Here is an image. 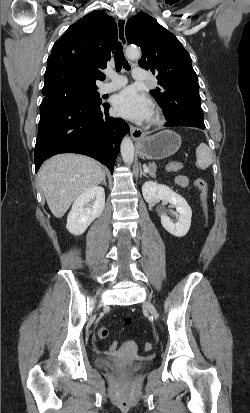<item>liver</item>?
<instances>
[{
    "label": "liver",
    "instance_id": "obj_1",
    "mask_svg": "<svg viewBox=\"0 0 250 413\" xmlns=\"http://www.w3.org/2000/svg\"><path fill=\"white\" fill-rule=\"evenodd\" d=\"M105 173L94 159L78 154H59L44 162L39 184L56 218H61L84 191L98 186Z\"/></svg>",
    "mask_w": 250,
    "mask_h": 413
}]
</instances>
